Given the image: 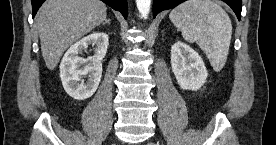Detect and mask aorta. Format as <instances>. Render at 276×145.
I'll return each instance as SVG.
<instances>
[{"mask_svg":"<svg viewBox=\"0 0 276 145\" xmlns=\"http://www.w3.org/2000/svg\"><path fill=\"white\" fill-rule=\"evenodd\" d=\"M137 9L142 18H147L150 12L151 0H136Z\"/></svg>","mask_w":276,"mask_h":145,"instance_id":"762f6f07","label":"aorta"}]
</instances>
